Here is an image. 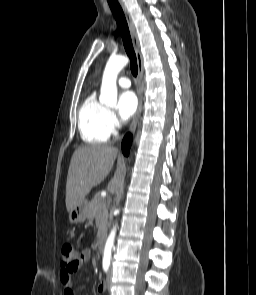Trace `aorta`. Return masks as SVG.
<instances>
[{
	"instance_id": "obj_1",
	"label": "aorta",
	"mask_w": 256,
	"mask_h": 295,
	"mask_svg": "<svg viewBox=\"0 0 256 295\" xmlns=\"http://www.w3.org/2000/svg\"><path fill=\"white\" fill-rule=\"evenodd\" d=\"M129 59L125 56L110 57L108 60L102 78L101 93L99 100L106 106L114 107L117 104V76L119 72L127 65ZM119 212V211H117ZM116 235V226L111 230L104 247L103 260L110 262L112 248Z\"/></svg>"
}]
</instances>
